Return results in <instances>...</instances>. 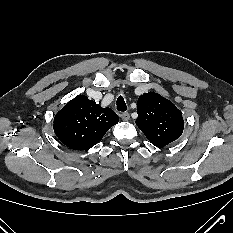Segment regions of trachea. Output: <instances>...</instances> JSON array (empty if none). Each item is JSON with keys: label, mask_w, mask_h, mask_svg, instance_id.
Returning <instances> with one entry per match:
<instances>
[{"label": "trachea", "mask_w": 233, "mask_h": 233, "mask_svg": "<svg viewBox=\"0 0 233 233\" xmlns=\"http://www.w3.org/2000/svg\"><path fill=\"white\" fill-rule=\"evenodd\" d=\"M117 110L122 111V112L127 110L126 103H125L124 98L122 96H119L117 98Z\"/></svg>", "instance_id": "obj_1"}]
</instances>
